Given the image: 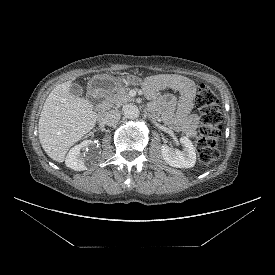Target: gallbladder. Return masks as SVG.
<instances>
[{"mask_svg":"<svg viewBox=\"0 0 275 275\" xmlns=\"http://www.w3.org/2000/svg\"><path fill=\"white\" fill-rule=\"evenodd\" d=\"M69 92L78 97L81 96L83 94V88L81 85L77 84V83H72L70 88H69Z\"/></svg>","mask_w":275,"mask_h":275,"instance_id":"obj_1","label":"gallbladder"}]
</instances>
